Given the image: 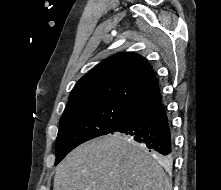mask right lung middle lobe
<instances>
[{"mask_svg": "<svg viewBox=\"0 0 221 190\" xmlns=\"http://www.w3.org/2000/svg\"><path fill=\"white\" fill-rule=\"evenodd\" d=\"M133 109L111 101L66 107L60 119L55 164H58L78 145L112 133Z\"/></svg>", "mask_w": 221, "mask_h": 190, "instance_id": "obj_1", "label": "right lung middle lobe"}]
</instances>
